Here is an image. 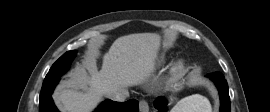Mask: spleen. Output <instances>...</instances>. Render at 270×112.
<instances>
[{"instance_id": "spleen-1", "label": "spleen", "mask_w": 270, "mask_h": 112, "mask_svg": "<svg viewBox=\"0 0 270 112\" xmlns=\"http://www.w3.org/2000/svg\"><path fill=\"white\" fill-rule=\"evenodd\" d=\"M170 112H212L209 100L199 94L180 100Z\"/></svg>"}]
</instances>
